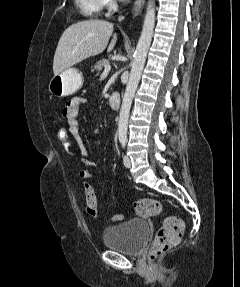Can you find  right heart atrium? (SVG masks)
I'll return each mask as SVG.
<instances>
[{"label":"right heart atrium","mask_w":240,"mask_h":287,"mask_svg":"<svg viewBox=\"0 0 240 287\" xmlns=\"http://www.w3.org/2000/svg\"><path fill=\"white\" fill-rule=\"evenodd\" d=\"M103 7L112 9L115 6V0H102Z\"/></svg>","instance_id":"1"}]
</instances>
